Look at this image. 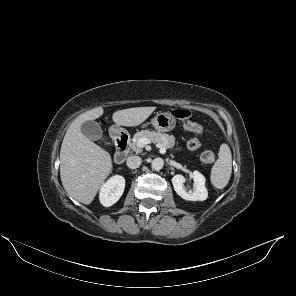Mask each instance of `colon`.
Returning <instances> with one entry per match:
<instances>
[{"mask_svg":"<svg viewBox=\"0 0 296 296\" xmlns=\"http://www.w3.org/2000/svg\"><path fill=\"white\" fill-rule=\"evenodd\" d=\"M169 112L174 115L175 117L179 118L183 122V127L185 130L189 132H193L197 135L203 134V128L200 124L196 123L195 121L191 120V112L187 109H178V108H171ZM201 146V141L198 137L190 138L187 142V147L190 150H197ZM200 160L203 163L210 164L215 160V154L212 151H204L200 155Z\"/></svg>","mask_w":296,"mask_h":296,"instance_id":"1","label":"colon"}]
</instances>
